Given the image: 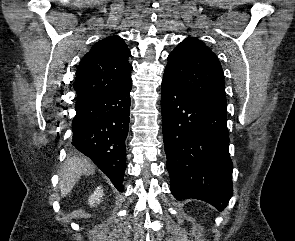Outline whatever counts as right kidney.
Wrapping results in <instances>:
<instances>
[{"mask_svg":"<svg viewBox=\"0 0 295 241\" xmlns=\"http://www.w3.org/2000/svg\"><path fill=\"white\" fill-rule=\"evenodd\" d=\"M103 190L101 187H97L94 193L89 198L90 206H95L96 203L100 202V199L103 197Z\"/></svg>","mask_w":295,"mask_h":241,"instance_id":"ca27d5eb","label":"right kidney"}]
</instances>
